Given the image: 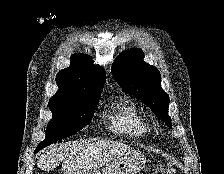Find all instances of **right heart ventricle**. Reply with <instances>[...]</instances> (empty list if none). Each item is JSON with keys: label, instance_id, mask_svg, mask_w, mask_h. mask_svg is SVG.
I'll use <instances>...</instances> for the list:
<instances>
[{"label": "right heart ventricle", "instance_id": "e07e8e85", "mask_svg": "<svg viewBox=\"0 0 224 174\" xmlns=\"http://www.w3.org/2000/svg\"><path fill=\"white\" fill-rule=\"evenodd\" d=\"M109 119L110 129L119 135L139 138L150 132L146 118L129 101H120L117 103Z\"/></svg>", "mask_w": 224, "mask_h": 174}]
</instances>
